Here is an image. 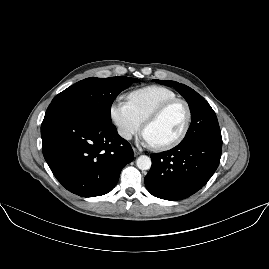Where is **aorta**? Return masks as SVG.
I'll list each match as a JSON object with an SVG mask.
<instances>
[{"instance_id":"762f6f07","label":"aorta","mask_w":269,"mask_h":269,"mask_svg":"<svg viewBox=\"0 0 269 269\" xmlns=\"http://www.w3.org/2000/svg\"><path fill=\"white\" fill-rule=\"evenodd\" d=\"M136 165L142 171L149 170L152 166L151 158L145 155L139 156Z\"/></svg>"}]
</instances>
